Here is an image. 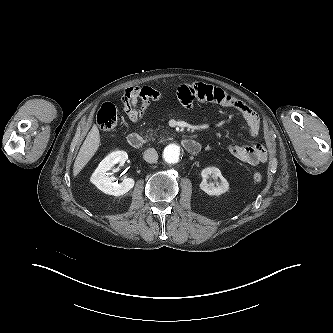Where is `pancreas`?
Masks as SVG:
<instances>
[{
  "label": "pancreas",
  "instance_id": "pancreas-1",
  "mask_svg": "<svg viewBox=\"0 0 333 333\" xmlns=\"http://www.w3.org/2000/svg\"><path fill=\"white\" fill-rule=\"evenodd\" d=\"M149 139L154 140L153 133H150Z\"/></svg>",
  "mask_w": 333,
  "mask_h": 333
}]
</instances>
